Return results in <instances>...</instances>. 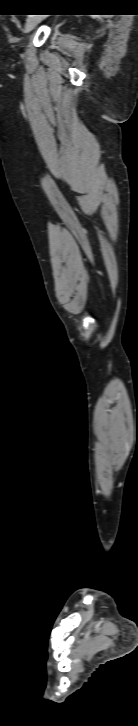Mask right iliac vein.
Returning a JSON list of instances; mask_svg holds the SVG:
<instances>
[{
	"mask_svg": "<svg viewBox=\"0 0 138 726\" xmlns=\"http://www.w3.org/2000/svg\"><path fill=\"white\" fill-rule=\"evenodd\" d=\"M41 20L42 17L40 16H31L25 24L24 33L27 34L32 31Z\"/></svg>",
	"mask_w": 138,
	"mask_h": 726,
	"instance_id": "63e3f726",
	"label": "right iliac vein"
}]
</instances>
